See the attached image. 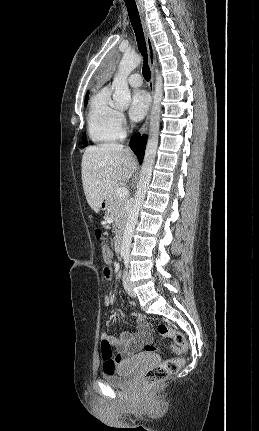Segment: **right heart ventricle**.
<instances>
[{
  "label": "right heart ventricle",
  "instance_id": "right-heart-ventricle-1",
  "mask_svg": "<svg viewBox=\"0 0 259 431\" xmlns=\"http://www.w3.org/2000/svg\"><path fill=\"white\" fill-rule=\"evenodd\" d=\"M110 88L97 91L90 100L87 113V131L92 142L97 144L116 141L123 136L117 122V110L110 104Z\"/></svg>",
  "mask_w": 259,
  "mask_h": 431
}]
</instances>
